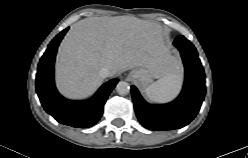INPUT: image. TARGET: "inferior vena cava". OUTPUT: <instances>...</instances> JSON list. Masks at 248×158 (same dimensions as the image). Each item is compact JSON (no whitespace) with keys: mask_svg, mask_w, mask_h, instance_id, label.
<instances>
[{"mask_svg":"<svg viewBox=\"0 0 248 158\" xmlns=\"http://www.w3.org/2000/svg\"><path fill=\"white\" fill-rule=\"evenodd\" d=\"M99 75L102 77V78H106V77H109L110 75V70L108 67H103L100 69L99 71Z\"/></svg>","mask_w":248,"mask_h":158,"instance_id":"inferior-vena-cava-1","label":"inferior vena cava"}]
</instances>
